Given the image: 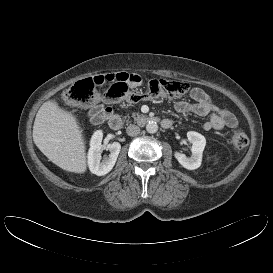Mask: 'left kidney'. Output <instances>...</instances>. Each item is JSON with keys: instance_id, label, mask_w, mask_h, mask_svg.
Returning a JSON list of instances; mask_svg holds the SVG:
<instances>
[{"instance_id": "obj_1", "label": "left kidney", "mask_w": 273, "mask_h": 273, "mask_svg": "<svg viewBox=\"0 0 273 273\" xmlns=\"http://www.w3.org/2000/svg\"><path fill=\"white\" fill-rule=\"evenodd\" d=\"M187 138L190 143H192V155L187 157L185 154L175 152L174 156L184 168L188 170H194L201 165L202 154L206 145V139L203 135L195 131L187 132Z\"/></svg>"}]
</instances>
